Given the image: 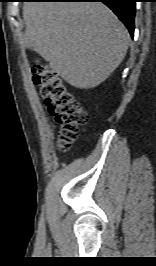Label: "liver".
Here are the masks:
<instances>
[{"label":"liver","instance_id":"1","mask_svg":"<svg viewBox=\"0 0 156 266\" xmlns=\"http://www.w3.org/2000/svg\"><path fill=\"white\" fill-rule=\"evenodd\" d=\"M24 45L70 85L91 89L123 61L130 35L100 2H27Z\"/></svg>","mask_w":156,"mask_h":266}]
</instances>
